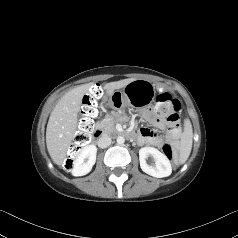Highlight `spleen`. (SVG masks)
Wrapping results in <instances>:
<instances>
[{"instance_id":"3e777b00","label":"spleen","mask_w":238,"mask_h":238,"mask_svg":"<svg viewBox=\"0 0 238 238\" xmlns=\"http://www.w3.org/2000/svg\"><path fill=\"white\" fill-rule=\"evenodd\" d=\"M192 125L190 121L187 119L184 122V133H183V139H182V147L180 151V157L179 162L180 164L185 163V161L188 159L191 148H192Z\"/></svg>"}]
</instances>
